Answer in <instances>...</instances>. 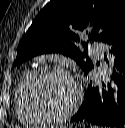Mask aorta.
<instances>
[{"instance_id": "aorta-1", "label": "aorta", "mask_w": 125, "mask_h": 128, "mask_svg": "<svg viewBox=\"0 0 125 128\" xmlns=\"http://www.w3.org/2000/svg\"><path fill=\"white\" fill-rule=\"evenodd\" d=\"M113 66V57H110V63L109 66L106 65V76L108 77V75H110L111 73V67Z\"/></svg>"}]
</instances>
